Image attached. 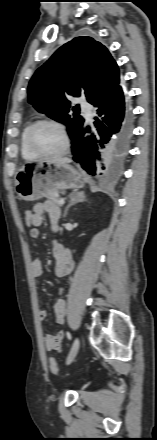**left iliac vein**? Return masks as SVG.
Listing matches in <instances>:
<instances>
[{
    "mask_svg": "<svg viewBox=\"0 0 157 440\" xmlns=\"http://www.w3.org/2000/svg\"><path fill=\"white\" fill-rule=\"evenodd\" d=\"M79 347H80V341H79L78 338H76L74 340V343H73V346L71 348V351H70V353L68 355L67 364H70L74 360L75 356L78 353Z\"/></svg>",
    "mask_w": 157,
    "mask_h": 440,
    "instance_id": "1",
    "label": "left iliac vein"
}]
</instances>
